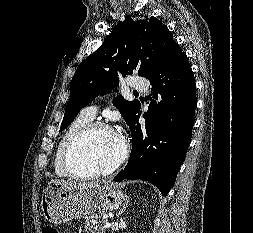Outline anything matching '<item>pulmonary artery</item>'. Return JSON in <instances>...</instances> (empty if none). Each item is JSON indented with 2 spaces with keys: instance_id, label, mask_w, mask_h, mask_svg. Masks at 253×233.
Segmentation results:
<instances>
[{
  "instance_id": "1",
  "label": "pulmonary artery",
  "mask_w": 253,
  "mask_h": 233,
  "mask_svg": "<svg viewBox=\"0 0 253 233\" xmlns=\"http://www.w3.org/2000/svg\"><path fill=\"white\" fill-rule=\"evenodd\" d=\"M130 86L135 92H146L148 88V82L144 79H132L130 81ZM98 105L93 104L86 106L81 110V113L83 116H86L88 118L93 119L97 113Z\"/></svg>"
}]
</instances>
